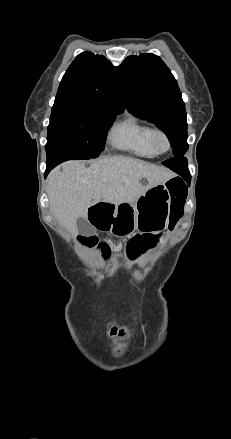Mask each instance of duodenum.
<instances>
[{
	"mask_svg": "<svg viewBox=\"0 0 231 439\" xmlns=\"http://www.w3.org/2000/svg\"><path fill=\"white\" fill-rule=\"evenodd\" d=\"M109 207H110L109 203H100L94 206L95 209V214L93 215L94 224H97L98 222L103 220L105 216L108 215Z\"/></svg>",
	"mask_w": 231,
	"mask_h": 439,
	"instance_id": "obj_1",
	"label": "duodenum"
}]
</instances>
